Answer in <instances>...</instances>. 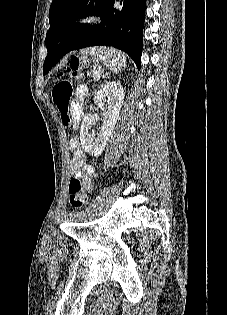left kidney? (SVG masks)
<instances>
[{"mask_svg": "<svg viewBox=\"0 0 227 315\" xmlns=\"http://www.w3.org/2000/svg\"><path fill=\"white\" fill-rule=\"evenodd\" d=\"M124 99V90L119 82H108L100 89L95 97L94 104L103 111V124L97 134L89 133L92 128L94 115L87 114L81 124L80 141L83 149L92 156L100 155L114 130L119 118Z\"/></svg>", "mask_w": 227, "mask_h": 315, "instance_id": "5707ae66", "label": "left kidney"}]
</instances>
